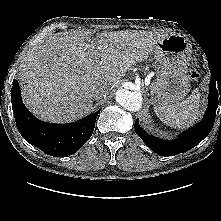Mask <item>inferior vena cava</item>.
I'll return each mask as SVG.
<instances>
[{
    "instance_id": "inferior-vena-cava-1",
    "label": "inferior vena cava",
    "mask_w": 221,
    "mask_h": 221,
    "mask_svg": "<svg viewBox=\"0 0 221 221\" xmlns=\"http://www.w3.org/2000/svg\"><path fill=\"white\" fill-rule=\"evenodd\" d=\"M108 93V89L106 86H101V87H98L94 90V98L95 99H99V98H102L104 96H106V94Z\"/></svg>"
}]
</instances>
